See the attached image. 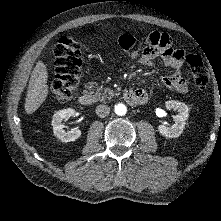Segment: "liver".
Segmentation results:
<instances>
[{
  "label": "liver",
  "instance_id": "1",
  "mask_svg": "<svg viewBox=\"0 0 221 221\" xmlns=\"http://www.w3.org/2000/svg\"><path fill=\"white\" fill-rule=\"evenodd\" d=\"M48 73L46 65L42 61H38L32 71L27 96L25 99V112L32 114L46 100L48 95Z\"/></svg>",
  "mask_w": 221,
  "mask_h": 221
}]
</instances>
